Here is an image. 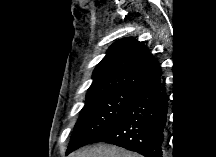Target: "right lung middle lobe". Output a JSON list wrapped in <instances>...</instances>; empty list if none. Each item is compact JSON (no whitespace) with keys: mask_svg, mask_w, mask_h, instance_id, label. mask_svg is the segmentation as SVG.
<instances>
[{"mask_svg":"<svg viewBox=\"0 0 216 157\" xmlns=\"http://www.w3.org/2000/svg\"><path fill=\"white\" fill-rule=\"evenodd\" d=\"M133 91L116 89L86 98L66 154L93 143L98 136L113 126L123 114Z\"/></svg>","mask_w":216,"mask_h":157,"instance_id":"right-lung-middle-lobe-1","label":"right lung middle lobe"}]
</instances>
